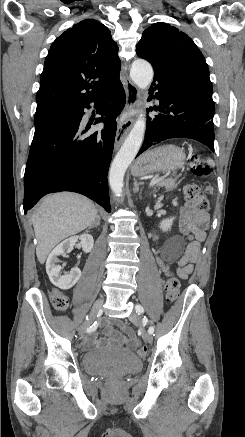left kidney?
<instances>
[{
	"label": "left kidney",
	"mask_w": 245,
	"mask_h": 437,
	"mask_svg": "<svg viewBox=\"0 0 245 437\" xmlns=\"http://www.w3.org/2000/svg\"><path fill=\"white\" fill-rule=\"evenodd\" d=\"M172 203H173V205L174 206H177L178 204H177V201L176 200H173L172 201ZM174 217H170V218H167V219H164V220H162L161 222H160V229L162 230V231H168L169 229H171V226H172V224H173V221H174Z\"/></svg>",
	"instance_id": "5707ae66"
}]
</instances>
